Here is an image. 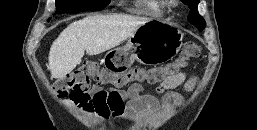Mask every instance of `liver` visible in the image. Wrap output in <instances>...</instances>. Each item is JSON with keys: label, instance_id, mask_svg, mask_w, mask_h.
<instances>
[{"label": "liver", "instance_id": "1", "mask_svg": "<svg viewBox=\"0 0 257 130\" xmlns=\"http://www.w3.org/2000/svg\"><path fill=\"white\" fill-rule=\"evenodd\" d=\"M150 20L146 17L112 14L89 16L69 24L49 51L52 77H65L81 63L85 51L89 55H97L110 50Z\"/></svg>", "mask_w": 257, "mask_h": 130}]
</instances>
